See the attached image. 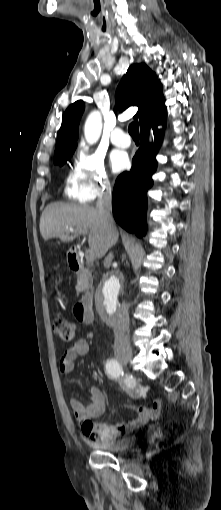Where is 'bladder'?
Here are the masks:
<instances>
[{"instance_id":"obj_1","label":"bladder","mask_w":221,"mask_h":510,"mask_svg":"<svg viewBox=\"0 0 221 510\" xmlns=\"http://www.w3.org/2000/svg\"><path fill=\"white\" fill-rule=\"evenodd\" d=\"M136 442L135 437L126 436L120 439H116L111 442H96L94 443V447L97 450L104 451L107 453H120L125 452L131 449Z\"/></svg>"}]
</instances>
